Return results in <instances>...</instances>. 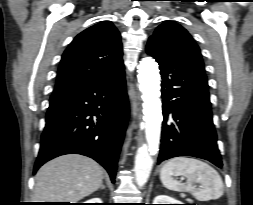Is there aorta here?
Returning a JSON list of instances; mask_svg holds the SVG:
<instances>
[{"mask_svg": "<svg viewBox=\"0 0 253 205\" xmlns=\"http://www.w3.org/2000/svg\"><path fill=\"white\" fill-rule=\"evenodd\" d=\"M138 79L143 100V126L147 143L137 150L134 172L137 184L142 187L148 181L151 173V155L157 150L162 122L160 74L158 64L152 57H145L140 61Z\"/></svg>", "mask_w": 253, "mask_h": 205, "instance_id": "1", "label": "aorta"}]
</instances>
